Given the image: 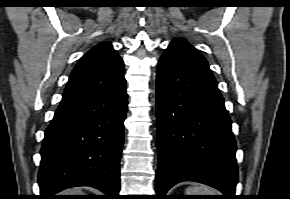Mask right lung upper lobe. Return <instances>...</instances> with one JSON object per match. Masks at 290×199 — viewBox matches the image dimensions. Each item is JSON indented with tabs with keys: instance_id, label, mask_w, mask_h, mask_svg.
<instances>
[{
	"instance_id": "cb5924a9",
	"label": "right lung upper lobe",
	"mask_w": 290,
	"mask_h": 199,
	"mask_svg": "<svg viewBox=\"0 0 290 199\" xmlns=\"http://www.w3.org/2000/svg\"><path fill=\"white\" fill-rule=\"evenodd\" d=\"M125 81L124 63L111 43L102 42L88 51L71 72L61 103L92 97Z\"/></svg>"
}]
</instances>
